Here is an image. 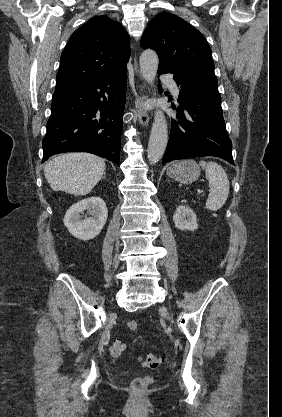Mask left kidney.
<instances>
[{"mask_svg": "<svg viewBox=\"0 0 282 417\" xmlns=\"http://www.w3.org/2000/svg\"><path fill=\"white\" fill-rule=\"evenodd\" d=\"M175 227L180 231H196L198 229L197 217L190 209L189 204L177 206L176 213L173 215Z\"/></svg>", "mask_w": 282, "mask_h": 417, "instance_id": "5707ae66", "label": "left kidney"}]
</instances>
